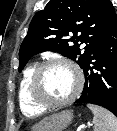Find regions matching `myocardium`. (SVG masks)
I'll return each instance as SVG.
<instances>
[{
	"mask_svg": "<svg viewBox=\"0 0 117 131\" xmlns=\"http://www.w3.org/2000/svg\"><path fill=\"white\" fill-rule=\"evenodd\" d=\"M55 65H64L72 69L76 75V80H77L76 87L73 93L69 97L61 101L47 100L44 97H42L39 93V81L44 70ZM83 85H84L83 73L75 63L67 59L53 58V59L45 60L35 67L29 84V94L32 101L40 107H43L45 109L59 108L72 103L82 92Z\"/></svg>",
	"mask_w": 117,
	"mask_h": 131,
	"instance_id": "myocardium-1",
	"label": "myocardium"
}]
</instances>
